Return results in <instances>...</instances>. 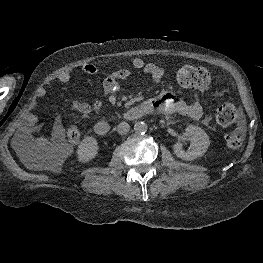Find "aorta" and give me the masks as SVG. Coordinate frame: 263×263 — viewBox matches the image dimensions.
Returning <instances> with one entry per match:
<instances>
[{
  "instance_id": "obj_1",
  "label": "aorta",
  "mask_w": 263,
  "mask_h": 263,
  "mask_svg": "<svg viewBox=\"0 0 263 263\" xmlns=\"http://www.w3.org/2000/svg\"><path fill=\"white\" fill-rule=\"evenodd\" d=\"M148 126L145 122L139 121L134 125V131L136 134H145L147 132Z\"/></svg>"
}]
</instances>
